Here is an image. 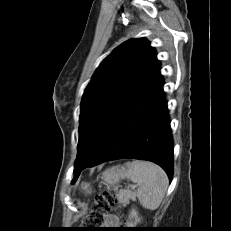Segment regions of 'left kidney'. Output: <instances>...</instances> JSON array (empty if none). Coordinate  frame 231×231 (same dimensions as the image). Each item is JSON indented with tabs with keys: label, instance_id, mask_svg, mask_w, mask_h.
Returning <instances> with one entry per match:
<instances>
[{
	"label": "left kidney",
	"instance_id": "5707ae66",
	"mask_svg": "<svg viewBox=\"0 0 231 231\" xmlns=\"http://www.w3.org/2000/svg\"><path fill=\"white\" fill-rule=\"evenodd\" d=\"M129 219H130L131 222H128V223H127V226H130V227H133V226H135L138 222H140L141 219L138 217V212L136 211V209H132V210L130 211ZM131 219H133L134 222H133Z\"/></svg>",
	"mask_w": 231,
	"mask_h": 231
}]
</instances>
